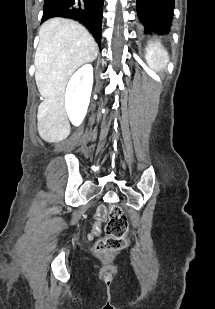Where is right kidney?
Masks as SVG:
<instances>
[{"instance_id": "obj_1", "label": "right kidney", "mask_w": 215, "mask_h": 309, "mask_svg": "<svg viewBox=\"0 0 215 309\" xmlns=\"http://www.w3.org/2000/svg\"><path fill=\"white\" fill-rule=\"evenodd\" d=\"M93 84V66L84 64L71 76L65 94L67 114L75 124H81L89 106Z\"/></svg>"}]
</instances>
